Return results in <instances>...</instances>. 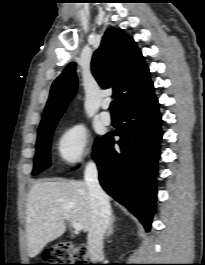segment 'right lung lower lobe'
<instances>
[{
  "mask_svg": "<svg viewBox=\"0 0 205 265\" xmlns=\"http://www.w3.org/2000/svg\"><path fill=\"white\" fill-rule=\"evenodd\" d=\"M158 100L152 92L142 102L120 112L115 135H104L93 158L104 190L125 206L147 231L155 211L157 160L162 138ZM120 151L114 149V144Z\"/></svg>",
  "mask_w": 205,
  "mask_h": 265,
  "instance_id": "obj_1",
  "label": "right lung lower lobe"
}]
</instances>
